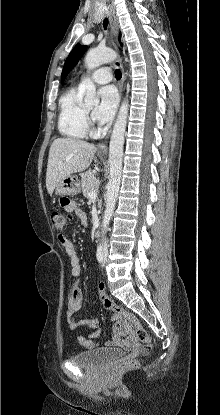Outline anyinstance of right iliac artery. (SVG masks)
<instances>
[{"label":"right iliac artery","instance_id":"82829eb1","mask_svg":"<svg viewBox=\"0 0 220 415\" xmlns=\"http://www.w3.org/2000/svg\"><path fill=\"white\" fill-rule=\"evenodd\" d=\"M103 248L102 246H99L97 249V260L99 261V263L103 262Z\"/></svg>","mask_w":220,"mask_h":415}]
</instances>
